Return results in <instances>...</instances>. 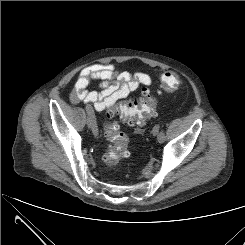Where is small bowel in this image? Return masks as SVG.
I'll use <instances>...</instances> for the list:
<instances>
[{
	"mask_svg": "<svg viewBox=\"0 0 245 245\" xmlns=\"http://www.w3.org/2000/svg\"><path fill=\"white\" fill-rule=\"evenodd\" d=\"M99 81V90H89L91 81ZM152 77L145 72L131 74L118 71L113 64L96 63L84 68L70 93L73 103H90L98 111L113 107L141 85L152 84Z\"/></svg>",
	"mask_w": 245,
	"mask_h": 245,
	"instance_id": "obj_1",
	"label": "small bowel"
}]
</instances>
